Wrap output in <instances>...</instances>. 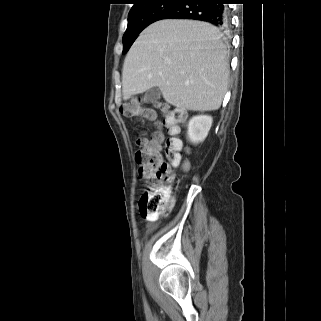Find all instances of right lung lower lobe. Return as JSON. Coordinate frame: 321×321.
<instances>
[{"instance_id":"1","label":"right lung lower lobe","mask_w":321,"mask_h":321,"mask_svg":"<svg viewBox=\"0 0 321 321\" xmlns=\"http://www.w3.org/2000/svg\"><path fill=\"white\" fill-rule=\"evenodd\" d=\"M228 0H179L159 17L162 19H193L205 21L220 29L229 25Z\"/></svg>"}]
</instances>
